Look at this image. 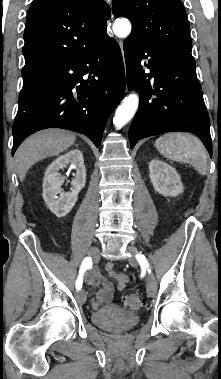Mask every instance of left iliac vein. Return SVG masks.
Masks as SVG:
<instances>
[{"label":"left iliac vein","instance_id":"1","mask_svg":"<svg viewBox=\"0 0 221 379\" xmlns=\"http://www.w3.org/2000/svg\"><path fill=\"white\" fill-rule=\"evenodd\" d=\"M128 250L132 253L138 252V249L136 247H133V246L128 247ZM129 263L133 267H136L138 265V262L134 257H131L129 259ZM146 290H147V295L149 297H153L157 292V282H156L153 275H149V277L147 279Z\"/></svg>","mask_w":221,"mask_h":379}]
</instances>
